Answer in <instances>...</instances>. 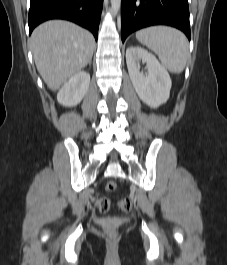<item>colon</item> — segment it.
I'll use <instances>...</instances> for the list:
<instances>
[{
  "instance_id": "colon-1",
  "label": "colon",
  "mask_w": 227,
  "mask_h": 265,
  "mask_svg": "<svg viewBox=\"0 0 227 265\" xmlns=\"http://www.w3.org/2000/svg\"><path fill=\"white\" fill-rule=\"evenodd\" d=\"M105 189L110 192L114 191L116 189V183L112 180L107 181L105 183ZM110 204V200L106 197H99L96 200V206L101 212H107ZM118 207L123 213H129L132 209V204L129 199H123L118 203ZM106 232L111 237L115 235V231L112 229H106Z\"/></svg>"
}]
</instances>
